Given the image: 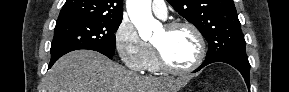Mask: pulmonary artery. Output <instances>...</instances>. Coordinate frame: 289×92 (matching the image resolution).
Listing matches in <instances>:
<instances>
[{
	"mask_svg": "<svg viewBox=\"0 0 289 92\" xmlns=\"http://www.w3.org/2000/svg\"><path fill=\"white\" fill-rule=\"evenodd\" d=\"M152 10L160 18H165L168 13L167 6L163 0H154L152 2Z\"/></svg>",
	"mask_w": 289,
	"mask_h": 92,
	"instance_id": "obj_1",
	"label": "pulmonary artery"
}]
</instances>
